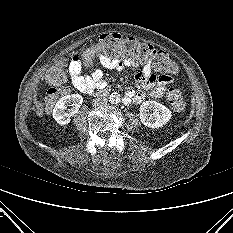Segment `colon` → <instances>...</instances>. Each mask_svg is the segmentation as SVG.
Instances as JSON below:
<instances>
[{"instance_id":"obj_1","label":"colon","mask_w":233,"mask_h":233,"mask_svg":"<svg viewBox=\"0 0 233 233\" xmlns=\"http://www.w3.org/2000/svg\"><path fill=\"white\" fill-rule=\"evenodd\" d=\"M101 52L109 56H123L139 61L150 59L155 68L164 74H172L177 71L176 63L164 51L132 38L124 39L115 33L104 34L97 43L82 46L77 55L81 61L89 65ZM63 66V59H59L48 72L46 79L48 85L45 100L46 110H50L59 94L65 92V89L61 87L65 81ZM166 99L177 113L182 114L185 111L186 103L178 89L170 88L167 91Z\"/></svg>"}]
</instances>
